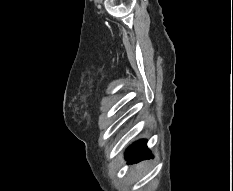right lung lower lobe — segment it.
Wrapping results in <instances>:
<instances>
[{
  "label": "right lung lower lobe",
  "mask_w": 233,
  "mask_h": 191,
  "mask_svg": "<svg viewBox=\"0 0 233 191\" xmlns=\"http://www.w3.org/2000/svg\"><path fill=\"white\" fill-rule=\"evenodd\" d=\"M151 157V152L146 146V140H140L135 142L129 147L126 152V159L128 163H134L141 159H146Z\"/></svg>",
  "instance_id": "right-lung-lower-lobe-1"
}]
</instances>
